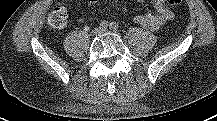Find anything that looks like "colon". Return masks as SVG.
<instances>
[{
    "instance_id": "1",
    "label": "colon",
    "mask_w": 217,
    "mask_h": 121,
    "mask_svg": "<svg viewBox=\"0 0 217 121\" xmlns=\"http://www.w3.org/2000/svg\"><path fill=\"white\" fill-rule=\"evenodd\" d=\"M172 6H179L183 0H166ZM67 10L64 7H57L53 9L47 16V21L51 27L61 30L67 25Z\"/></svg>"
}]
</instances>
